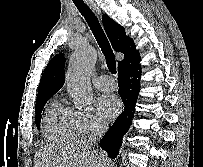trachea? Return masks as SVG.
Here are the masks:
<instances>
[{
	"instance_id": "obj_1",
	"label": "trachea",
	"mask_w": 203,
	"mask_h": 167,
	"mask_svg": "<svg viewBox=\"0 0 203 167\" xmlns=\"http://www.w3.org/2000/svg\"><path fill=\"white\" fill-rule=\"evenodd\" d=\"M79 12L84 16L87 21L99 47L101 48L109 71L112 74H116V61L110 43L98 21V18L90 10V8L84 3H75Z\"/></svg>"
}]
</instances>
